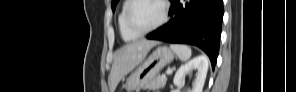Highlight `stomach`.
<instances>
[{
    "mask_svg": "<svg viewBox=\"0 0 296 92\" xmlns=\"http://www.w3.org/2000/svg\"><path fill=\"white\" fill-rule=\"evenodd\" d=\"M174 53L168 47L156 48L149 57L129 76L124 88L127 92H139L158 73L173 61Z\"/></svg>",
    "mask_w": 296,
    "mask_h": 92,
    "instance_id": "stomach-1",
    "label": "stomach"
}]
</instances>
